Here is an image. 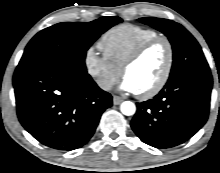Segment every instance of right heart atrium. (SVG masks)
Returning a JSON list of instances; mask_svg holds the SVG:
<instances>
[{
	"label": "right heart atrium",
	"mask_w": 220,
	"mask_h": 173,
	"mask_svg": "<svg viewBox=\"0 0 220 173\" xmlns=\"http://www.w3.org/2000/svg\"><path fill=\"white\" fill-rule=\"evenodd\" d=\"M84 66L87 74L104 91L111 90L121 76V70L93 48L86 51Z\"/></svg>",
	"instance_id": "right-heart-atrium-1"
}]
</instances>
